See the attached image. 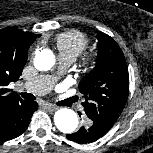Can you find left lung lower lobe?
<instances>
[{"label": "left lung lower lobe", "mask_w": 153, "mask_h": 153, "mask_svg": "<svg viewBox=\"0 0 153 153\" xmlns=\"http://www.w3.org/2000/svg\"><path fill=\"white\" fill-rule=\"evenodd\" d=\"M105 133L98 126L90 124L88 127H81L76 133L68 134L67 138L77 143L86 144L98 140Z\"/></svg>", "instance_id": "1"}]
</instances>
